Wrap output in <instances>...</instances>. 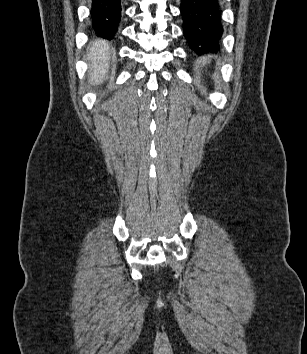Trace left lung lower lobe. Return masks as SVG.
Instances as JSON below:
<instances>
[{"label":"left lung lower lobe","mask_w":307,"mask_h":354,"mask_svg":"<svg viewBox=\"0 0 307 354\" xmlns=\"http://www.w3.org/2000/svg\"><path fill=\"white\" fill-rule=\"evenodd\" d=\"M180 9L189 47L198 54L218 50L223 33L219 0H181Z\"/></svg>","instance_id":"left-lung-lower-lobe-1"}]
</instances>
